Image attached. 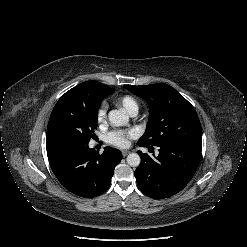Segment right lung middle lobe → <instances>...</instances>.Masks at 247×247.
I'll return each instance as SVG.
<instances>
[{
  "label": "right lung middle lobe",
  "instance_id": "right-lung-middle-lobe-1",
  "mask_svg": "<svg viewBox=\"0 0 247 247\" xmlns=\"http://www.w3.org/2000/svg\"><path fill=\"white\" fill-rule=\"evenodd\" d=\"M101 99L66 92L56 103L47 127V147L58 143L88 144L97 128Z\"/></svg>",
  "mask_w": 247,
  "mask_h": 247
}]
</instances>
